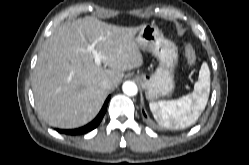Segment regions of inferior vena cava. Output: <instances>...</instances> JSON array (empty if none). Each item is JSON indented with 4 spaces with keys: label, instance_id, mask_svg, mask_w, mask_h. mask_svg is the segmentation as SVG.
Listing matches in <instances>:
<instances>
[{
    "label": "inferior vena cava",
    "instance_id": "obj_1",
    "mask_svg": "<svg viewBox=\"0 0 249 165\" xmlns=\"http://www.w3.org/2000/svg\"><path fill=\"white\" fill-rule=\"evenodd\" d=\"M101 85L103 88L105 89H110L112 87V82L109 80V79H104L102 82H101Z\"/></svg>",
    "mask_w": 249,
    "mask_h": 165
}]
</instances>
